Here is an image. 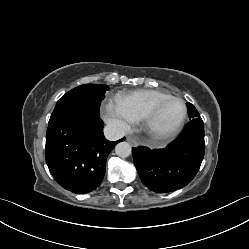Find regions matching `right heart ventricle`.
I'll return each instance as SVG.
<instances>
[{
  "instance_id": "e07e8e85",
  "label": "right heart ventricle",
  "mask_w": 249,
  "mask_h": 249,
  "mask_svg": "<svg viewBox=\"0 0 249 249\" xmlns=\"http://www.w3.org/2000/svg\"><path fill=\"white\" fill-rule=\"evenodd\" d=\"M171 95L160 90H136L120 94L116 100L122 104L135 118L140 120L152 106Z\"/></svg>"
}]
</instances>
